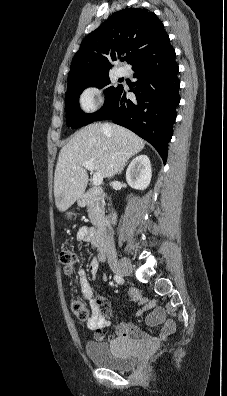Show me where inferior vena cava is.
Segmentation results:
<instances>
[{
  "label": "inferior vena cava",
  "instance_id": "1",
  "mask_svg": "<svg viewBox=\"0 0 227 396\" xmlns=\"http://www.w3.org/2000/svg\"><path fill=\"white\" fill-rule=\"evenodd\" d=\"M105 250L108 256L115 255L114 239L111 232H109L108 235L106 236Z\"/></svg>",
  "mask_w": 227,
  "mask_h": 396
}]
</instances>
